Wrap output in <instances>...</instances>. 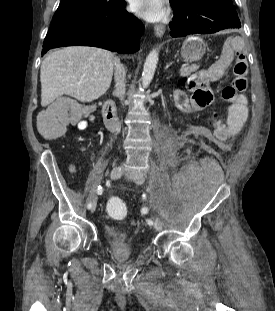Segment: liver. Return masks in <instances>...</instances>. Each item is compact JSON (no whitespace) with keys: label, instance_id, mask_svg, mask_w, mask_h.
<instances>
[{"label":"liver","instance_id":"1","mask_svg":"<svg viewBox=\"0 0 275 311\" xmlns=\"http://www.w3.org/2000/svg\"><path fill=\"white\" fill-rule=\"evenodd\" d=\"M114 54L88 46L55 50L43 60L40 69L41 105L62 95L81 102H92L109 89L113 75Z\"/></svg>","mask_w":275,"mask_h":311}]
</instances>
